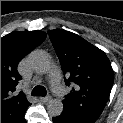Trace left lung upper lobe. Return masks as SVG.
<instances>
[{"mask_svg": "<svg viewBox=\"0 0 123 123\" xmlns=\"http://www.w3.org/2000/svg\"><path fill=\"white\" fill-rule=\"evenodd\" d=\"M48 34L67 76L66 85H75L63 101L64 110L94 123L106 105L114 81L108 57L72 32L55 29Z\"/></svg>", "mask_w": 123, "mask_h": 123, "instance_id": "left-lung-upper-lobe-1", "label": "left lung upper lobe"}]
</instances>
